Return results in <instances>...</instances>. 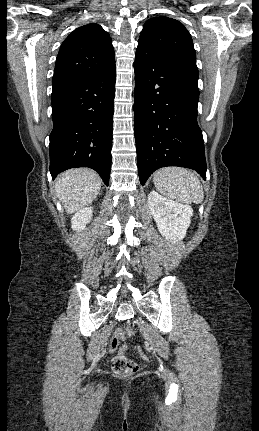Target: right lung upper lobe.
I'll list each match as a JSON object with an SVG mask.
<instances>
[{
  "mask_svg": "<svg viewBox=\"0 0 259 431\" xmlns=\"http://www.w3.org/2000/svg\"><path fill=\"white\" fill-rule=\"evenodd\" d=\"M115 68L110 35L98 24L75 29L63 41L55 64L52 84L100 74Z\"/></svg>",
  "mask_w": 259,
  "mask_h": 431,
  "instance_id": "cb5924a9",
  "label": "right lung upper lobe"
}]
</instances>
